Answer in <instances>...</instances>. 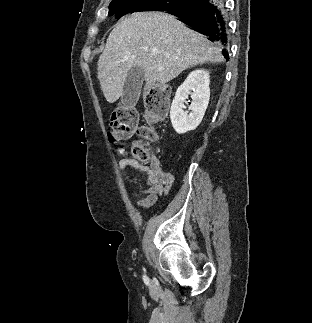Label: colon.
Masks as SVG:
<instances>
[{
    "label": "colon",
    "mask_w": 312,
    "mask_h": 323,
    "mask_svg": "<svg viewBox=\"0 0 312 323\" xmlns=\"http://www.w3.org/2000/svg\"><path fill=\"white\" fill-rule=\"evenodd\" d=\"M168 90L161 84L153 85V90L149 93L150 109L148 111V125L138 126V112L131 105H119L110 115V127L108 130V140L111 144L126 141L134 135L141 137V140L132 144L128 154L140 162H150L152 152L150 143L158 138L157 131L153 124L161 120V116L166 113V99ZM157 162H152V167H157Z\"/></svg>",
    "instance_id": "colon-1"
}]
</instances>
